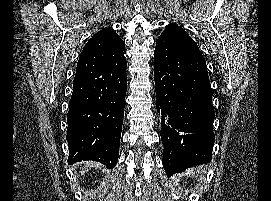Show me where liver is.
<instances>
[{
	"label": "liver",
	"instance_id": "6515ba94",
	"mask_svg": "<svg viewBox=\"0 0 271 201\" xmlns=\"http://www.w3.org/2000/svg\"><path fill=\"white\" fill-rule=\"evenodd\" d=\"M87 171H88V169L85 167L84 170L82 169L81 174H85V172H87Z\"/></svg>",
	"mask_w": 271,
	"mask_h": 201
}]
</instances>
